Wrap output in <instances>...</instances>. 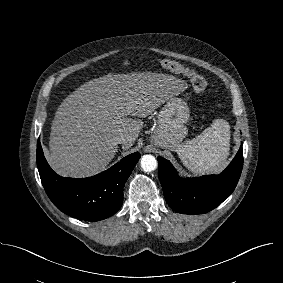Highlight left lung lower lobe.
I'll use <instances>...</instances> for the list:
<instances>
[{
	"mask_svg": "<svg viewBox=\"0 0 283 283\" xmlns=\"http://www.w3.org/2000/svg\"><path fill=\"white\" fill-rule=\"evenodd\" d=\"M159 180L168 205L182 214L207 213L224 200L235 189L243 167V150L240 147L228 167L219 175L200 178H181L171 163L158 157Z\"/></svg>",
	"mask_w": 283,
	"mask_h": 283,
	"instance_id": "0a47b994",
	"label": "left lung lower lobe"
}]
</instances>
